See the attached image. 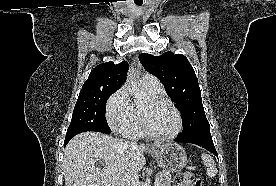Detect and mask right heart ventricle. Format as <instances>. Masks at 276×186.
Returning a JSON list of instances; mask_svg holds the SVG:
<instances>
[{
	"instance_id": "e07e8e85",
	"label": "right heart ventricle",
	"mask_w": 276,
	"mask_h": 186,
	"mask_svg": "<svg viewBox=\"0 0 276 186\" xmlns=\"http://www.w3.org/2000/svg\"><path fill=\"white\" fill-rule=\"evenodd\" d=\"M144 88L152 97H157V95L159 94V92L156 93V92H153V91L149 90L146 87H144ZM134 109H135V112H136L137 117H138V123H137V126H136L135 130L131 134H129L128 136H131L133 138H142L146 135L144 130H143L142 123H141V111L142 110L139 107H134Z\"/></svg>"
}]
</instances>
